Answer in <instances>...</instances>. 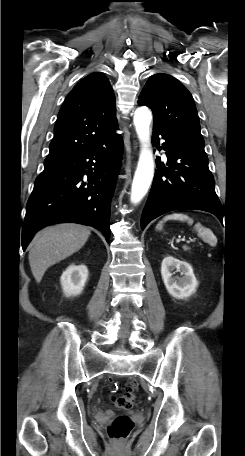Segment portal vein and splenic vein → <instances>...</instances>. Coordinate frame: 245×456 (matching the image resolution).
<instances>
[{
  "label": "portal vein and splenic vein",
  "instance_id": "obj_1",
  "mask_svg": "<svg viewBox=\"0 0 245 456\" xmlns=\"http://www.w3.org/2000/svg\"><path fill=\"white\" fill-rule=\"evenodd\" d=\"M185 241L187 244H190L192 241L191 240H183Z\"/></svg>",
  "mask_w": 245,
  "mask_h": 456
}]
</instances>
